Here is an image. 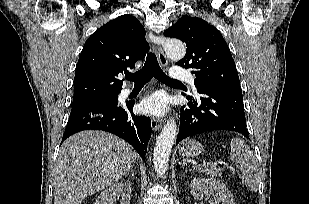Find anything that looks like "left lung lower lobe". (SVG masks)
<instances>
[{
    "label": "left lung lower lobe",
    "mask_w": 309,
    "mask_h": 204,
    "mask_svg": "<svg viewBox=\"0 0 309 204\" xmlns=\"http://www.w3.org/2000/svg\"><path fill=\"white\" fill-rule=\"evenodd\" d=\"M198 96L188 95L182 106L176 140L213 130L236 131L248 137L241 90L201 87Z\"/></svg>",
    "instance_id": "1"
}]
</instances>
